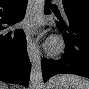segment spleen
Listing matches in <instances>:
<instances>
[{"instance_id": "1", "label": "spleen", "mask_w": 89, "mask_h": 89, "mask_svg": "<svg viewBox=\"0 0 89 89\" xmlns=\"http://www.w3.org/2000/svg\"><path fill=\"white\" fill-rule=\"evenodd\" d=\"M53 82L61 83L67 89H89V81L77 75H60Z\"/></svg>"}]
</instances>
